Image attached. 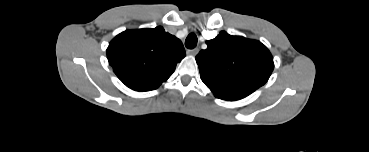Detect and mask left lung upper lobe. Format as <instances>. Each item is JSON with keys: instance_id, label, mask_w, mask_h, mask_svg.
<instances>
[{"instance_id": "obj_1", "label": "left lung upper lobe", "mask_w": 369, "mask_h": 152, "mask_svg": "<svg viewBox=\"0 0 369 152\" xmlns=\"http://www.w3.org/2000/svg\"><path fill=\"white\" fill-rule=\"evenodd\" d=\"M196 56L200 77L217 98L239 100L269 79L273 57L259 41L220 32Z\"/></svg>"}]
</instances>
